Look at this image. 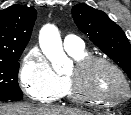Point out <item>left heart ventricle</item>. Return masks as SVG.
Listing matches in <instances>:
<instances>
[{"mask_svg": "<svg viewBox=\"0 0 131 115\" xmlns=\"http://www.w3.org/2000/svg\"><path fill=\"white\" fill-rule=\"evenodd\" d=\"M86 88L109 99L121 98L125 95V87L119 75L103 64H97L88 71Z\"/></svg>", "mask_w": 131, "mask_h": 115, "instance_id": "obj_1", "label": "left heart ventricle"}]
</instances>
